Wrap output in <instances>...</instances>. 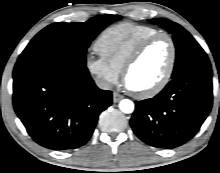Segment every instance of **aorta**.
<instances>
[{
	"label": "aorta",
	"instance_id": "aorta-1",
	"mask_svg": "<svg viewBox=\"0 0 220 173\" xmlns=\"http://www.w3.org/2000/svg\"><path fill=\"white\" fill-rule=\"evenodd\" d=\"M119 108L126 114L132 113L134 111V103L129 99H123L119 103Z\"/></svg>",
	"mask_w": 220,
	"mask_h": 173
}]
</instances>
